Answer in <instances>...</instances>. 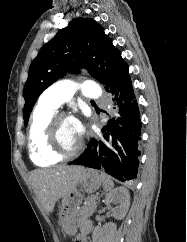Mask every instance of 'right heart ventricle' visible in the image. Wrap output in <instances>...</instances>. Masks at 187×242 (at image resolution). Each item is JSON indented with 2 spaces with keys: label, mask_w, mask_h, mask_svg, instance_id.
Segmentation results:
<instances>
[{
  "label": "right heart ventricle",
  "mask_w": 187,
  "mask_h": 242,
  "mask_svg": "<svg viewBox=\"0 0 187 242\" xmlns=\"http://www.w3.org/2000/svg\"><path fill=\"white\" fill-rule=\"evenodd\" d=\"M55 112L56 109L41 102L33 111L28 132V148L30 159L38 166H50L61 161V158L47 150L44 141L45 128Z\"/></svg>",
  "instance_id": "obj_1"
}]
</instances>
